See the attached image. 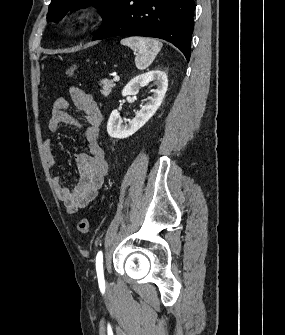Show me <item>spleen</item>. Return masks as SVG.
Masks as SVG:
<instances>
[{
	"instance_id": "obj_1",
	"label": "spleen",
	"mask_w": 285,
	"mask_h": 335,
	"mask_svg": "<svg viewBox=\"0 0 285 335\" xmlns=\"http://www.w3.org/2000/svg\"><path fill=\"white\" fill-rule=\"evenodd\" d=\"M120 44L122 46H129L133 52H138L135 58V66L138 70H146L161 50L160 42L154 40V38L133 36V38H124Z\"/></svg>"
}]
</instances>
